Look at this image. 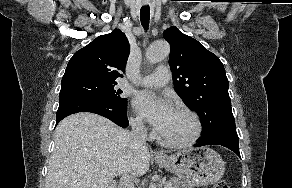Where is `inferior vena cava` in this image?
I'll list each match as a JSON object with an SVG mask.
<instances>
[{
  "label": "inferior vena cava",
  "mask_w": 292,
  "mask_h": 188,
  "mask_svg": "<svg viewBox=\"0 0 292 188\" xmlns=\"http://www.w3.org/2000/svg\"><path fill=\"white\" fill-rule=\"evenodd\" d=\"M131 127L132 131L127 133V141L130 147L140 148L145 146L147 132L144 128L142 120H132ZM118 188H134V177L127 173L122 174Z\"/></svg>",
  "instance_id": "602c4592"
}]
</instances>
